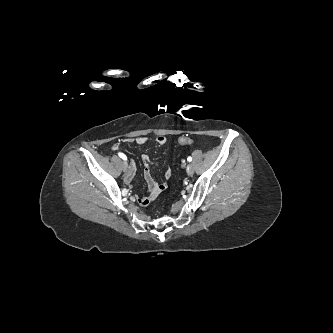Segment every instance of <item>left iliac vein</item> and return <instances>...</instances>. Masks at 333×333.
<instances>
[{
    "label": "left iliac vein",
    "mask_w": 333,
    "mask_h": 333,
    "mask_svg": "<svg viewBox=\"0 0 333 333\" xmlns=\"http://www.w3.org/2000/svg\"><path fill=\"white\" fill-rule=\"evenodd\" d=\"M186 172L189 176H192L193 173H194V170H193V167L192 165L188 164L187 167H186Z\"/></svg>",
    "instance_id": "obj_1"
}]
</instances>
